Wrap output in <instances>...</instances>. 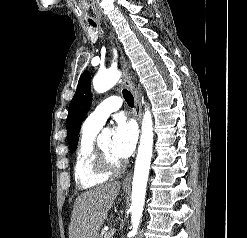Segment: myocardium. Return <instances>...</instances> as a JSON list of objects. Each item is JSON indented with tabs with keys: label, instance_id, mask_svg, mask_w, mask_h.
I'll list each match as a JSON object with an SVG mask.
<instances>
[{
	"label": "myocardium",
	"instance_id": "f54148a6",
	"mask_svg": "<svg viewBox=\"0 0 247 238\" xmlns=\"http://www.w3.org/2000/svg\"><path fill=\"white\" fill-rule=\"evenodd\" d=\"M94 167L99 173L114 176L123 171L125 163L111 160L97 144L95 145Z\"/></svg>",
	"mask_w": 247,
	"mask_h": 238
}]
</instances>
